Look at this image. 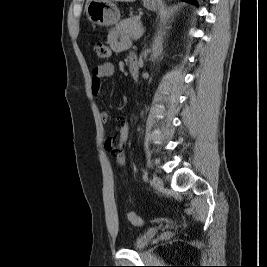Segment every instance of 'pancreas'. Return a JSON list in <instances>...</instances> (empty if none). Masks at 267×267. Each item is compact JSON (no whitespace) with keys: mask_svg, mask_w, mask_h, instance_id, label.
Here are the masks:
<instances>
[{"mask_svg":"<svg viewBox=\"0 0 267 267\" xmlns=\"http://www.w3.org/2000/svg\"><path fill=\"white\" fill-rule=\"evenodd\" d=\"M140 18V16H133L123 20L119 26L120 34L134 39V36H136L142 28Z\"/></svg>","mask_w":267,"mask_h":267,"instance_id":"obj_1","label":"pancreas"}]
</instances>
